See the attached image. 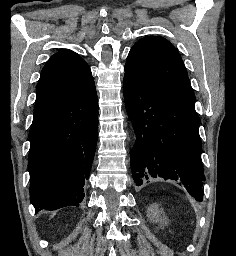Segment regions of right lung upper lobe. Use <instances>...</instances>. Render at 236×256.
Here are the masks:
<instances>
[{
	"mask_svg": "<svg viewBox=\"0 0 236 256\" xmlns=\"http://www.w3.org/2000/svg\"><path fill=\"white\" fill-rule=\"evenodd\" d=\"M93 82L87 63L76 52L60 49L41 71L34 117L42 115Z\"/></svg>",
	"mask_w": 236,
	"mask_h": 256,
	"instance_id": "1",
	"label": "right lung upper lobe"
}]
</instances>
